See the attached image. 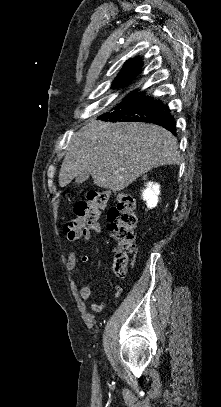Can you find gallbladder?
Segmentation results:
<instances>
[{
  "mask_svg": "<svg viewBox=\"0 0 221 407\" xmlns=\"http://www.w3.org/2000/svg\"><path fill=\"white\" fill-rule=\"evenodd\" d=\"M89 176H90L89 172H82L76 177L75 181L77 184L83 183L89 178Z\"/></svg>",
  "mask_w": 221,
  "mask_h": 407,
  "instance_id": "1",
  "label": "gallbladder"
}]
</instances>
